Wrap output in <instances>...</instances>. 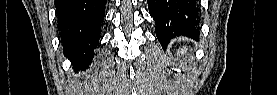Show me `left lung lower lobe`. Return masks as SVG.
Returning a JSON list of instances; mask_svg holds the SVG:
<instances>
[{
	"instance_id": "1",
	"label": "left lung lower lobe",
	"mask_w": 277,
	"mask_h": 95,
	"mask_svg": "<svg viewBox=\"0 0 277 95\" xmlns=\"http://www.w3.org/2000/svg\"><path fill=\"white\" fill-rule=\"evenodd\" d=\"M147 3L163 47L175 36H198L200 14L196 0H147Z\"/></svg>"
}]
</instances>
